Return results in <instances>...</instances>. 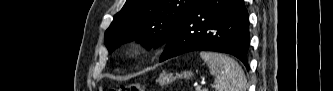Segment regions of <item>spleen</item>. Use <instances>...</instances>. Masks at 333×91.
I'll return each mask as SVG.
<instances>
[{"label": "spleen", "instance_id": "3e777b00", "mask_svg": "<svg viewBox=\"0 0 333 91\" xmlns=\"http://www.w3.org/2000/svg\"><path fill=\"white\" fill-rule=\"evenodd\" d=\"M200 57L215 76L216 91H246L247 80L241 66L231 57L216 52H200Z\"/></svg>", "mask_w": 333, "mask_h": 91}]
</instances>
